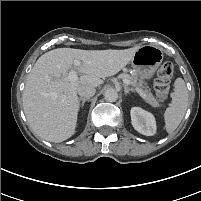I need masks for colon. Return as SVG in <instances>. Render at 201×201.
Returning <instances> with one entry per match:
<instances>
[{
	"instance_id": "5ec220e1",
	"label": "colon",
	"mask_w": 201,
	"mask_h": 201,
	"mask_svg": "<svg viewBox=\"0 0 201 201\" xmlns=\"http://www.w3.org/2000/svg\"><path fill=\"white\" fill-rule=\"evenodd\" d=\"M173 75V66L170 62H165L159 68L157 77L154 81V88L157 96L163 100L167 97Z\"/></svg>"
}]
</instances>
